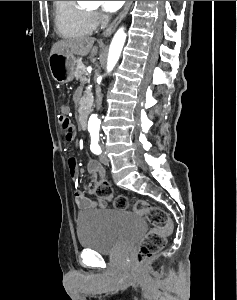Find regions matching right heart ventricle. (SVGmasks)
<instances>
[{"instance_id": "obj_1", "label": "right heart ventricle", "mask_w": 237, "mask_h": 300, "mask_svg": "<svg viewBox=\"0 0 237 300\" xmlns=\"http://www.w3.org/2000/svg\"><path fill=\"white\" fill-rule=\"evenodd\" d=\"M54 19L57 32L63 37L89 34L93 16L77 1H54Z\"/></svg>"}]
</instances>
